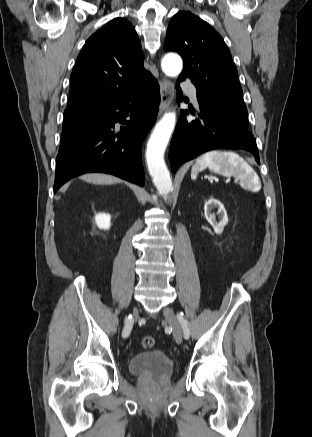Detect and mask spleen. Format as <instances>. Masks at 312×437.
<instances>
[{
	"instance_id": "obj_1",
	"label": "spleen",
	"mask_w": 312,
	"mask_h": 437,
	"mask_svg": "<svg viewBox=\"0 0 312 437\" xmlns=\"http://www.w3.org/2000/svg\"><path fill=\"white\" fill-rule=\"evenodd\" d=\"M225 177L238 178L249 190L258 191L261 183L252 167L237 153L231 151H209L197 158L192 166L191 178L196 179L205 168Z\"/></svg>"
}]
</instances>
